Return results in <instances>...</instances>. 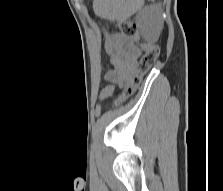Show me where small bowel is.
I'll return each mask as SVG.
<instances>
[{
	"label": "small bowel",
	"instance_id": "small-bowel-1",
	"mask_svg": "<svg viewBox=\"0 0 223 191\" xmlns=\"http://www.w3.org/2000/svg\"><path fill=\"white\" fill-rule=\"evenodd\" d=\"M106 48L113 68L106 73V79L111 84L102 90V99L111 96L116 86L123 87L128 84L136 74L137 63L142 55L131 40L120 33L109 36Z\"/></svg>",
	"mask_w": 223,
	"mask_h": 191
}]
</instances>
